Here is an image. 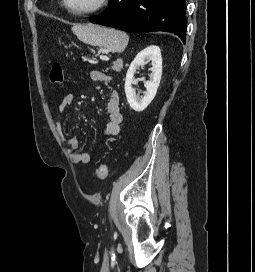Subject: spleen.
<instances>
[{"mask_svg":"<svg viewBox=\"0 0 255 272\" xmlns=\"http://www.w3.org/2000/svg\"><path fill=\"white\" fill-rule=\"evenodd\" d=\"M72 31L80 41L105 47L112 52L124 51L129 41L125 32L99 25H75Z\"/></svg>","mask_w":255,"mask_h":272,"instance_id":"1","label":"spleen"}]
</instances>
